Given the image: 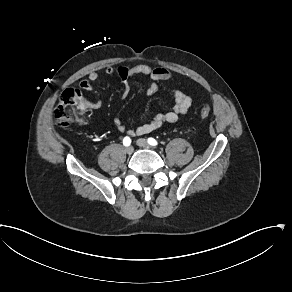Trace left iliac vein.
<instances>
[{"instance_id":"obj_1","label":"left iliac vein","mask_w":292,"mask_h":292,"mask_svg":"<svg viewBox=\"0 0 292 292\" xmlns=\"http://www.w3.org/2000/svg\"><path fill=\"white\" fill-rule=\"evenodd\" d=\"M137 145L146 148V149H151L152 147L149 145L146 139L140 138L136 141Z\"/></svg>"}]
</instances>
